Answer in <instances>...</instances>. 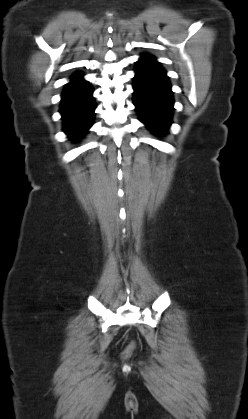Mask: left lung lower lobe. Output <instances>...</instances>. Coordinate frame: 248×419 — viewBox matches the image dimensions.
Returning <instances> with one entry per match:
<instances>
[{"label": "left lung lower lobe", "mask_w": 248, "mask_h": 419, "mask_svg": "<svg viewBox=\"0 0 248 419\" xmlns=\"http://www.w3.org/2000/svg\"><path fill=\"white\" fill-rule=\"evenodd\" d=\"M133 103L143 122L154 134L167 132L172 123L173 98L166 71L153 56L142 55L136 63Z\"/></svg>", "instance_id": "left-lung-lower-lobe-1"}]
</instances>
